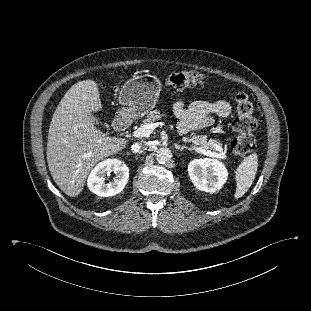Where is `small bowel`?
Masks as SVG:
<instances>
[{"mask_svg": "<svg viewBox=\"0 0 311 311\" xmlns=\"http://www.w3.org/2000/svg\"><path fill=\"white\" fill-rule=\"evenodd\" d=\"M231 111V105L224 100L213 103L197 100L189 106H185L182 101L174 104V114L179 119L178 129L181 133L208 127L213 123L212 115L227 117Z\"/></svg>", "mask_w": 311, "mask_h": 311, "instance_id": "1", "label": "small bowel"}]
</instances>
